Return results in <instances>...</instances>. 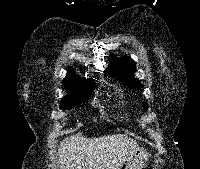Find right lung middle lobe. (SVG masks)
Returning a JSON list of instances; mask_svg holds the SVG:
<instances>
[{
	"label": "right lung middle lobe",
	"instance_id": "dd1d6c3e",
	"mask_svg": "<svg viewBox=\"0 0 200 169\" xmlns=\"http://www.w3.org/2000/svg\"><path fill=\"white\" fill-rule=\"evenodd\" d=\"M90 95V93H86L84 95L78 96L76 98H72V99H67V100H62L60 107L62 109H69L72 108L78 104H80L81 102H83L84 100L87 99V97Z\"/></svg>",
	"mask_w": 200,
	"mask_h": 169
}]
</instances>
